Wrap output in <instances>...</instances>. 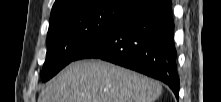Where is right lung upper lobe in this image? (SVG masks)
Here are the masks:
<instances>
[{
  "instance_id": "obj_1",
  "label": "right lung upper lobe",
  "mask_w": 221,
  "mask_h": 102,
  "mask_svg": "<svg viewBox=\"0 0 221 102\" xmlns=\"http://www.w3.org/2000/svg\"><path fill=\"white\" fill-rule=\"evenodd\" d=\"M82 1L84 0H55V3L51 10V16L59 12H62L64 10H67L69 8H72L78 5L79 3H81ZM129 1L132 3L134 8H136L139 5H141L145 0H129Z\"/></svg>"
}]
</instances>
